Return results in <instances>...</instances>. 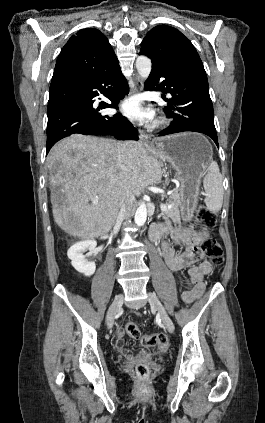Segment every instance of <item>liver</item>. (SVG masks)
I'll return each instance as SVG.
<instances>
[{"label": "liver", "mask_w": 265, "mask_h": 423, "mask_svg": "<svg viewBox=\"0 0 265 423\" xmlns=\"http://www.w3.org/2000/svg\"><path fill=\"white\" fill-rule=\"evenodd\" d=\"M126 144L122 170L116 142L73 134L54 145L46 159L52 187L51 203L56 224L67 234L93 239L111 230L118 211L121 188L129 185L138 196L161 180L159 162L135 141ZM61 186L58 198L56 187ZM93 199L98 204H90Z\"/></svg>", "instance_id": "1"}]
</instances>
